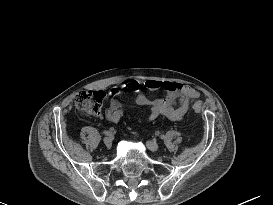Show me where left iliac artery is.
<instances>
[{"instance_id": "44dca946", "label": "left iliac artery", "mask_w": 273, "mask_h": 205, "mask_svg": "<svg viewBox=\"0 0 273 205\" xmlns=\"http://www.w3.org/2000/svg\"><path fill=\"white\" fill-rule=\"evenodd\" d=\"M160 138H161V139H164V138H165V136H164V135H161V136H160Z\"/></svg>"}]
</instances>
